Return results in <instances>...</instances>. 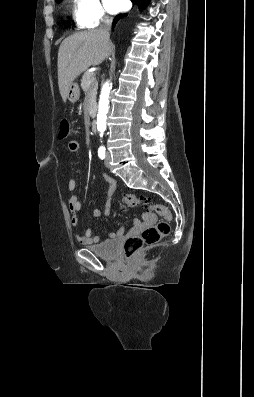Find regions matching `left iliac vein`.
Wrapping results in <instances>:
<instances>
[{
  "instance_id": "1",
  "label": "left iliac vein",
  "mask_w": 254,
  "mask_h": 397,
  "mask_svg": "<svg viewBox=\"0 0 254 397\" xmlns=\"http://www.w3.org/2000/svg\"><path fill=\"white\" fill-rule=\"evenodd\" d=\"M110 160H111L110 153L107 152V154H106V159H105V166H106L107 168H110Z\"/></svg>"
}]
</instances>
